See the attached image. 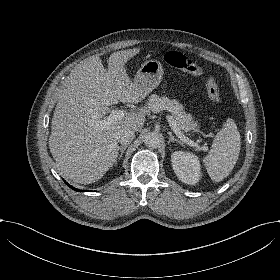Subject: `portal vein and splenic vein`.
<instances>
[{
	"label": "portal vein and splenic vein",
	"mask_w": 280,
	"mask_h": 280,
	"mask_svg": "<svg viewBox=\"0 0 280 280\" xmlns=\"http://www.w3.org/2000/svg\"><path fill=\"white\" fill-rule=\"evenodd\" d=\"M125 116V111L124 110H112V113L104 120L99 121L98 123L101 126H106V125H110L112 121L114 120H118L121 119ZM170 126L172 127L173 131L175 134H177L182 140H184L185 143H187L189 146L191 147H198L199 150L202 151H207L208 147L207 146H198L197 142H194L193 140H189L187 139L184 135L181 134L180 129L177 126V123L175 122V120L173 119V116L168 115L166 116Z\"/></svg>",
	"instance_id": "obj_1"
}]
</instances>
